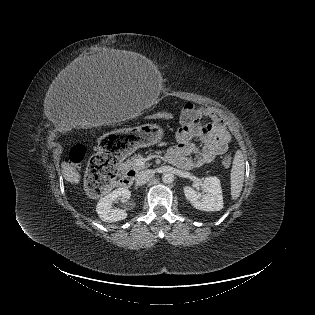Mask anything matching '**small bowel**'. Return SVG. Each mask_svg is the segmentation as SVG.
Masks as SVG:
<instances>
[{
	"mask_svg": "<svg viewBox=\"0 0 315 315\" xmlns=\"http://www.w3.org/2000/svg\"><path fill=\"white\" fill-rule=\"evenodd\" d=\"M176 145L168 151V159L186 170L212 162L228 149L230 135L216 110L210 107L185 106L180 114ZM202 142V147L194 143Z\"/></svg>",
	"mask_w": 315,
	"mask_h": 315,
	"instance_id": "c3829d8e",
	"label": "small bowel"
}]
</instances>
